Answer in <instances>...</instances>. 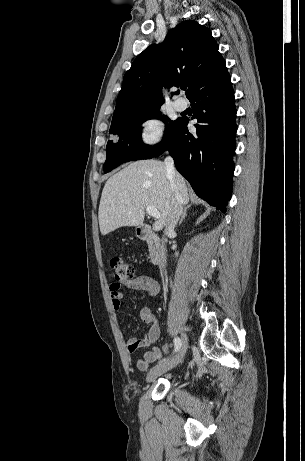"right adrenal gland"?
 <instances>
[{"mask_svg": "<svg viewBox=\"0 0 305 461\" xmlns=\"http://www.w3.org/2000/svg\"><path fill=\"white\" fill-rule=\"evenodd\" d=\"M190 208V205L188 206H185L182 213H181V218L179 220V225H181V223L183 222V220L187 217V210Z\"/></svg>", "mask_w": 305, "mask_h": 461, "instance_id": "2a0ac1e0", "label": "right adrenal gland"}]
</instances>
